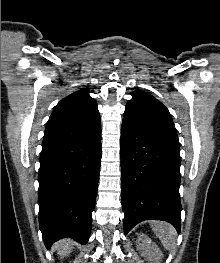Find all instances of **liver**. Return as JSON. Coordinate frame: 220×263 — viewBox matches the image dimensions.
Wrapping results in <instances>:
<instances>
[{
	"mask_svg": "<svg viewBox=\"0 0 220 263\" xmlns=\"http://www.w3.org/2000/svg\"><path fill=\"white\" fill-rule=\"evenodd\" d=\"M55 248L58 250V254L64 258L71 253L73 249V242L69 239H63L55 244Z\"/></svg>",
	"mask_w": 220,
	"mask_h": 263,
	"instance_id": "liver-1",
	"label": "liver"
}]
</instances>
